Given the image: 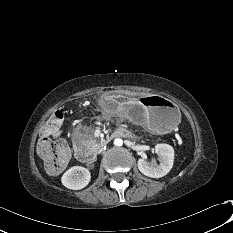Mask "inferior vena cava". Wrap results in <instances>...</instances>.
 Returning <instances> with one entry per match:
<instances>
[{
    "label": "inferior vena cava",
    "instance_id": "1",
    "mask_svg": "<svg viewBox=\"0 0 233 233\" xmlns=\"http://www.w3.org/2000/svg\"><path fill=\"white\" fill-rule=\"evenodd\" d=\"M102 151H103V148L100 147V148L98 149V153H101Z\"/></svg>",
    "mask_w": 233,
    "mask_h": 233
}]
</instances>
